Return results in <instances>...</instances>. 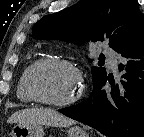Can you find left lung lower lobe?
<instances>
[{
    "label": "left lung lower lobe",
    "mask_w": 144,
    "mask_h": 137,
    "mask_svg": "<svg viewBox=\"0 0 144 137\" xmlns=\"http://www.w3.org/2000/svg\"><path fill=\"white\" fill-rule=\"evenodd\" d=\"M118 84L106 76L94 86L90 97L82 103L59 111L89 125L109 137L144 136V22L136 34L118 51ZM111 91L103 90L106 81Z\"/></svg>",
    "instance_id": "left-lung-lower-lobe-1"
}]
</instances>
